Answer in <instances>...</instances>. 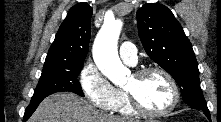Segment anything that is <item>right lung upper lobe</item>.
Wrapping results in <instances>:
<instances>
[{
	"mask_svg": "<svg viewBox=\"0 0 221 122\" xmlns=\"http://www.w3.org/2000/svg\"><path fill=\"white\" fill-rule=\"evenodd\" d=\"M92 8L87 3L73 6L61 24L45 62H81L89 48Z\"/></svg>",
	"mask_w": 221,
	"mask_h": 122,
	"instance_id": "right-lung-upper-lobe-1",
	"label": "right lung upper lobe"
}]
</instances>
